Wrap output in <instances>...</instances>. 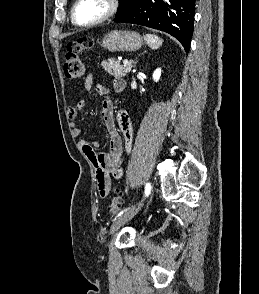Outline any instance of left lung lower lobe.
Segmentation results:
<instances>
[{"instance_id": "left-lung-lower-lobe-1", "label": "left lung lower lobe", "mask_w": 259, "mask_h": 294, "mask_svg": "<svg viewBox=\"0 0 259 294\" xmlns=\"http://www.w3.org/2000/svg\"><path fill=\"white\" fill-rule=\"evenodd\" d=\"M195 15V0H135L134 7L114 22L139 24L165 31L189 51Z\"/></svg>"}]
</instances>
